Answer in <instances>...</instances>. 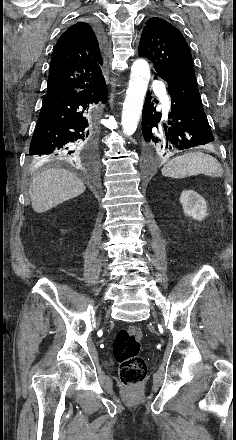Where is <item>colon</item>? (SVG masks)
<instances>
[{"mask_svg": "<svg viewBox=\"0 0 236 440\" xmlns=\"http://www.w3.org/2000/svg\"><path fill=\"white\" fill-rule=\"evenodd\" d=\"M142 332L131 326L118 331L114 340L113 353L119 363V377L125 386H137L147 376V365L140 356Z\"/></svg>", "mask_w": 236, "mask_h": 440, "instance_id": "1", "label": "colon"}]
</instances>
